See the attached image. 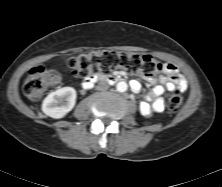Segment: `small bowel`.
Segmentation results:
<instances>
[{"mask_svg": "<svg viewBox=\"0 0 222 187\" xmlns=\"http://www.w3.org/2000/svg\"><path fill=\"white\" fill-rule=\"evenodd\" d=\"M164 74L158 76H145L144 79L152 86L151 90L147 93L146 101L140 103V111L145 117H152L155 113H159L164 109V100L162 94L166 88L173 87L179 90H186L187 80L184 76L179 74L177 67L171 63L163 65ZM135 92L141 90V85L138 82L132 84Z\"/></svg>", "mask_w": 222, "mask_h": 187, "instance_id": "obj_1", "label": "small bowel"}]
</instances>
